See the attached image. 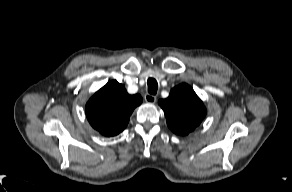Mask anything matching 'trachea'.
Masks as SVG:
<instances>
[{
    "instance_id": "1",
    "label": "trachea",
    "mask_w": 292,
    "mask_h": 192,
    "mask_svg": "<svg viewBox=\"0 0 292 192\" xmlns=\"http://www.w3.org/2000/svg\"><path fill=\"white\" fill-rule=\"evenodd\" d=\"M147 84H148V92L152 95H155L157 93V90H158V83H157L156 79L149 78L147 81Z\"/></svg>"
}]
</instances>
